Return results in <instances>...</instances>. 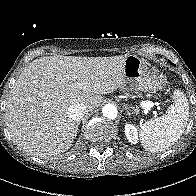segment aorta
<instances>
[{"label": "aorta", "instance_id": "obj_1", "mask_svg": "<svg viewBox=\"0 0 196 196\" xmlns=\"http://www.w3.org/2000/svg\"><path fill=\"white\" fill-rule=\"evenodd\" d=\"M102 113L109 119H115L117 117L118 111L115 105L106 104L102 109Z\"/></svg>", "mask_w": 196, "mask_h": 196}]
</instances>
